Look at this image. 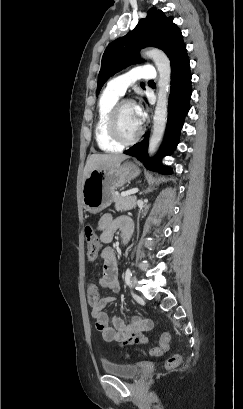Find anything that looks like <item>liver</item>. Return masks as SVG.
I'll return each mask as SVG.
<instances>
[{
    "mask_svg": "<svg viewBox=\"0 0 243 409\" xmlns=\"http://www.w3.org/2000/svg\"><path fill=\"white\" fill-rule=\"evenodd\" d=\"M127 155L123 154H92L88 157L84 172L83 181L89 175V173L95 169L104 170L118 166L127 159Z\"/></svg>",
    "mask_w": 243,
    "mask_h": 409,
    "instance_id": "liver-1",
    "label": "liver"
}]
</instances>
